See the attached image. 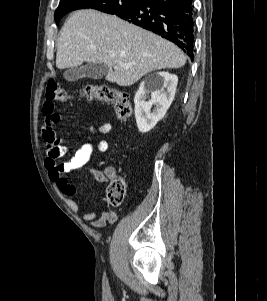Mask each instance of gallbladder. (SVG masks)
Listing matches in <instances>:
<instances>
[{
	"label": "gallbladder",
	"instance_id": "1",
	"mask_svg": "<svg viewBox=\"0 0 267 301\" xmlns=\"http://www.w3.org/2000/svg\"><path fill=\"white\" fill-rule=\"evenodd\" d=\"M107 73V68L101 63H85L67 69L63 76L67 81L73 82L81 78L102 79Z\"/></svg>",
	"mask_w": 267,
	"mask_h": 301
}]
</instances>
